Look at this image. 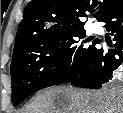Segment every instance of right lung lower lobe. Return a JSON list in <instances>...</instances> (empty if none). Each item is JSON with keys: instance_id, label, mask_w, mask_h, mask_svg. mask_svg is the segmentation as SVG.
<instances>
[{"instance_id": "obj_1", "label": "right lung lower lobe", "mask_w": 123, "mask_h": 113, "mask_svg": "<svg viewBox=\"0 0 123 113\" xmlns=\"http://www.w3.org/2000/svg\"><path fill=\"white\" fill-rule=\"evenodd\" d=\"M106 29L114 35V47L106 49L97 46L80 75L71 81L72 85L99 89L112 77L113 72L123 67V0L113 6L102 18Z\"/></svg>"}]
</instances>
